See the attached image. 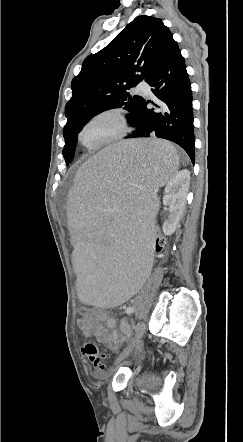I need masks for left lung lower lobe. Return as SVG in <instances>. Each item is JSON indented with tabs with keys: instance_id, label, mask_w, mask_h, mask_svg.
<instances>
[{
	"instance_id": "1",
	"label": "left lung lower lobe",
	"mask_w": 243,
	"mask_h": 442,
	"mask_svg": "<svg viewBox=\"0 0 243 442\" xmlns=\"http://www.w3.org/2000/svg\"><path fill=\"white\" fill-rule=\"evenodd\" d=\"M145 81L155 101H143L129 124L136 130L125 138L158 137L181 146L194 163L195 138L191 83L178 44L169 34L148 70ZM151 102L155 107L147 108Z\"/></svg>"
}]
</instances>
